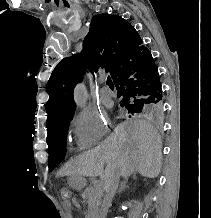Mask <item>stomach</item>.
<instances>
[{
	"instance_id": "obj_1",
	"label": "stomach",
	"mask_w": 211,
	"mask_h": 218,
	"mask_svg": "<svg viewBox=\"0 0 211 218\" xmlns=\"http://www.w3.org/2000/svg\"><path fill=\"white\" fill-rule=\"evenodd\" d=\"M69 185L75 189H82L86 185V180L81 174L73 173L69 177Z\"/></svg>"
}]
</instances>
